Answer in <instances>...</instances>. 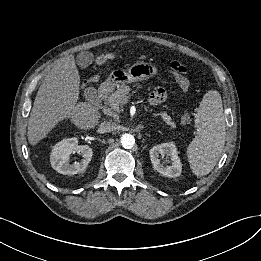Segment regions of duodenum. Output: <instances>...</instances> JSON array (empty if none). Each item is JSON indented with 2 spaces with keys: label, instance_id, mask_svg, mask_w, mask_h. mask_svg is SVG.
<instances>
[{
  "label": "duodenum",
  "instance_id": "1",
  "mask_svg": "<svg viewBox=\"0 0 261 261\" xmlns=\"http://www.w3.org/2000/svg\"><path fill=\"white\" fill-rule=\"evenodd\" d=\"M111 84L109 81H104L98 87V97L102 100L109 92Z\"/></svg>",
  "mask_w": 261,
  "mask_h": 261
}]
</instances>
